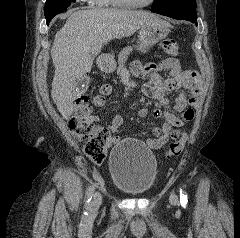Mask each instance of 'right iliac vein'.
Here are the masks:
<instances>
[{
  "label": "right iliac vein",
  "instance_id": "1",
  "mask_svg": "<svg viewBox=\"0 0 240 238\" xmlns=\"http://www.w3.org/2000/svg\"><path fill=\"white\" fill-rule=\"evenodd\" d=\"M101 203H102L101 193L100 192H96L93 195L92 201L90 203V207H89L90 215H93V214H95L98 211Z\"/></svg>",
  "mask_w": 240,
  "mask_h": 238
}]
</instances>
